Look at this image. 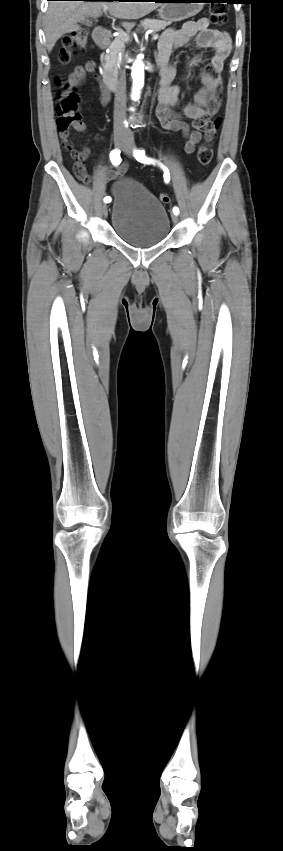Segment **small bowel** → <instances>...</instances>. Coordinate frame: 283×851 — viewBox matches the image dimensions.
Returning <instances> with one entry per match:
<instances>
[{"label": "small bowel", "instance_id": "c3829d8e", "mask_svg": "<svg viewBox=\"0 0 283 851\" xmlns=\"http://www.w3.org/2000/svg\"><path fill=\"white\" fill-rule=\"evenodd\" d=\"M192 39H195L199 48H211L213 50L212 72L200 74L203 87L195 95V102L182 106L180 104L181 89L178 85L171 84L176 73L172 55L175 49L188 45ZM230 51L231 39L228 34L217 29H210L207 18L187 21L179 29L169 28L163 32L159 40L158 63L162 65V73L156 115L164 129L182 133L185 139L184 151L187 154L195 151L196 145L202 139L200 129L204 128V125L220 108L221 102L218 92L222 87L221 72ZM202 60V57L197 56L191 61L190 66H197ZM95 69L96 64L93 61L75 66L68 76L67 89L64 94L66 95L78 87L85 75L95 72ZM98 82L102 104L106 105L113 97V92L106 84L105 78H100ZM184 118L191 119L192 124L189 125ZM75 129L83 131L85 129L84 123L75 126ZM60 137L63 146L75 160V165H82L85 168L83 162L89 157L90 149L76 150L68 139L69 132L60 133ZM125 169L126 166L123 165L120 170L124 171ZM99 171L104 179L114 175L112 170L105 167H101Z\"/></svg>", "mask_w": 283, "mask_h": 851}]
</instances>
